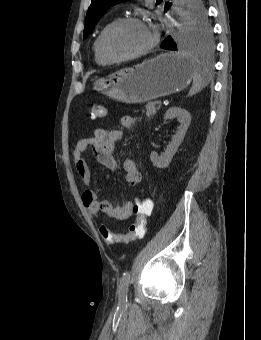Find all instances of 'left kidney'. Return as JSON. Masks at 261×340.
Listing matches in <instances>:
<instances>
[{
    "instance_id": "1",
    "label": "left kidney",
    "mask_w": 261,
    "mask_h": 340,
    "mask_svg": "<svg viewBox=\"0 0 261 340\" xmlns=\"http://www.w3.org/2000/svg\"><path fill=\"white\" fill-rule=\"evenodd\" d=\"M174 117H177V120L180 122V126L177 128V132L173 136L172 141L167 146V149L161 155H158L154 151L150 154V160L153 163V166L157 168H165L169 165L173 156L177 152L179 145L183 141L188 126L191 122L190 113L187 110L179 107L169 108L164 115L165 120L172 119Z\"/></svg>"
}]
</instances>
